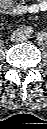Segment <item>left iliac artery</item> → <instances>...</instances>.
<instances>
[{"mask_svg":"<svg viewBox=\"0 0 47 129\" xmlns=\"http://www.w3.org/2000/svg\"><path fill=\"white\" fill-rule=\"evenodd\" d=\"M46 38H47V34L46 33H38L37 34V39L38 40H46Z\"/></svg>","mask_w":47,"mask_h":129,"instance_id":"1","label":"left iliac artery"}]
</instances>
